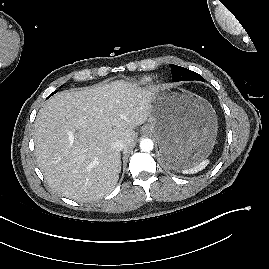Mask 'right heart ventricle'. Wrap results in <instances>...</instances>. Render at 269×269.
Returning <instances> with one entry per match:
<instances>
[{
  "label": "right heart ventricle",
  "mask_w": 269,
  "mask_h": 269,
  "mask_svg": "<svg viewBox=\"0 0 269 269\" xmlns=\"http://www.w3.org/2000/svg\"><path fill=\"white\" fill-rule=\"evenodd\" d=\"M148 81H150L149 78H144V79H143V82H148Z\"/></svg>",
  "instance_id": "obj_1"
}]
</instances>
